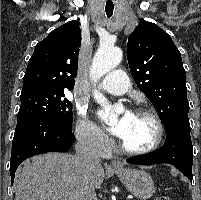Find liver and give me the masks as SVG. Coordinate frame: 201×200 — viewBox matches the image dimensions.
Here are the masks:
<instances>
[{"label": "liver", "mask_w": 201, "mask_h": 200, "mask_svg": "<svg viewBox=\"0 0 201 200\" xmlns=\"http://www.w3.org/2000/svg\"><path fill=\"white\" fill-rule=\"evenodd\" d=\"M82 178L74 155H38L18 169L15 200H78ZM90 178L94 188L100 187L104 180L103 167L92 169Z\"/></svg>", "instance_id": "obj_1"}]
</instances>
